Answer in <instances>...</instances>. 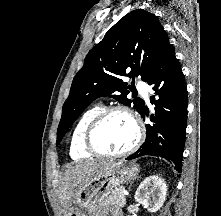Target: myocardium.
<instances>
[{
	"mask_svg": "<svg viewBox=\"0 0 221 216\" xmlns=\"http://www.w3.org/2000/svg\"><path fill=\"white\" fill-rule=\"evenodd\" d=\"M121 112L126 114L133 122L136 130V136L134 142L125 150L116 153H110L101 150L94 143V134L100 124L111 114ZM144 137V126L141 118L128 106L125 105H114L102 109L88 124L85 129L83 136L84 148L92 155L107 158H118L131 154L134 152L141 144Z\"/></svg>",
	"mask_w": 221,
	"mask_h": 216,
	"instance_id": "1",
	"label": "myocardium"
}]
</instances>
